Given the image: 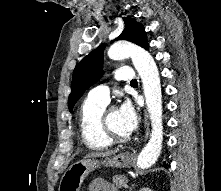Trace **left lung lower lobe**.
Returning a JSON list of instances; mask_svg holds the SVG:
<instances>
[{
  "label": "left lung lower lobe",
  "mask_w": 221,
  "mask_h": 191,
  "mask_svg": "<svg viewBox=\"0 0 221 191\" xmlns=\"http://www.w3.org/2000/svg\"><path fill=\"white\" fill-rule=\"evenodd\" d=\"M147 50H148V48H147ZM163 166H164V167H167V164H164Z\"/></svg>",
  "instance_id": "1"
}]
</instances>
